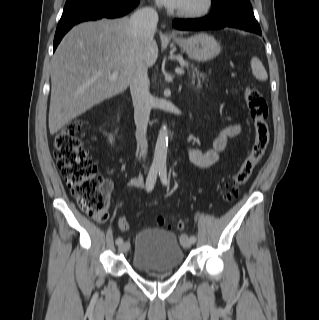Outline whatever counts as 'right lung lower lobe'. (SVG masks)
<instances>
[{
	"label": "right lung lower lobe",
	"mask_w": 319,
	"mask_h": 320,
	"mask_svg": "<svg viewBox=\"0 0 319 320\" xmlns=\"http://www.w3.org/2000/svg\"><path fill=\"white\" fill-rule=\"evenodd\" d=\"M138 4L139 0H95L80 8L63 13L54 37V50L66 32L75 24L101 18L120 17L129 13Z\"/></svg>",
	"instance_id": "1"
}]
</instances>
